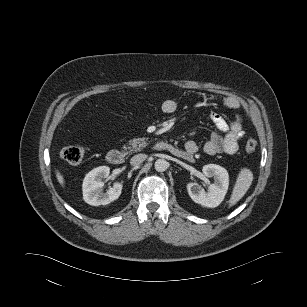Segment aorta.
<instances>
[{
    "label": "aorta",
    "instance_id": "obj_1",
    "mask_svg": "<svg viewBox=\"0 0 307 307\" xmlns=\"http://www.w3.org/2000/svg\"><path fill=\"white\" fill-rule=\"evenodd\" d=\"M154 165L156 171L164 172L165 170H167L169 163L165 159H157Z\"/></svg>",
    "mask_w": 307,
    "mask_h": 307
}]
</instances>
